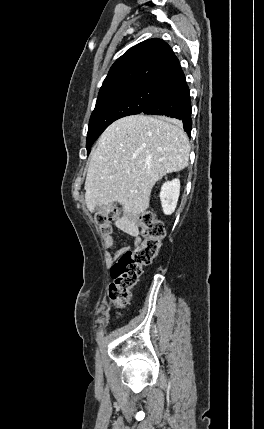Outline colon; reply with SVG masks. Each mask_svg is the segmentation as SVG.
<instances>
[{"instance_id":"obj_1","label":"colon","mask_w":264,"mask_h":429,"mask_svg":"<svg viewBox=\"0 0 264 429\" xmlns=\"http://www.w3.org/2000/svg\"><path fill=\"white\" fill-rule=\"evenodd\" d=\"M116 210L100 212L96 223L102 228L107 220L115 216ZM142 241L134 249L123 252L111 267L112 282L109 285V298L116 307L125 306L131 298V290L136 285L142 270L157 255L165 229L161 221L149 212L139 217Z\"/></svg>"}]
</instances>
